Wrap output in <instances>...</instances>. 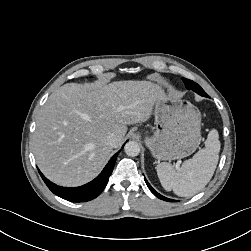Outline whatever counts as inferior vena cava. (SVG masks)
<instances>
[{
    "label": "inferior vena cava",
    "mask_w": 251,
    "mask_h": 251,
    "mask_svg": "<svg viewBox=\"0 0 251 251\" xmlns=\"http://www.w3.org/2000/svg\"><path fill=\"white\" fill-rule=\"evenodd\" d=\"M116 141H117V135L114 134V133L108 135L106 140H105L106 144L111 146V147H115Z\"/></svg>",
    "instance_id": "1"
}]
</instances>
